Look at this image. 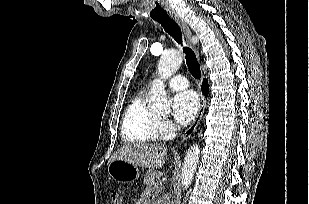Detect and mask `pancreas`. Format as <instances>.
I'll return each mask as SVG.
<instances>
[{"label":"pancreas","instance_id":"pancreas-1","mask_svg":"<svg viewBox=\"0 0 309 204\" xmlns=\"http://www.w3.org/2000/svg\"><path fill=\"white\" fill-rule=\"evenodd\" d=\"M160 172L155 169H149L145 173L144 184L154 193V196H158L162 190V183L160 181Z\"/></svg>","mask_w":309,"mask_h":204}]
</instances>
